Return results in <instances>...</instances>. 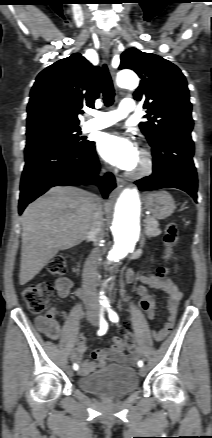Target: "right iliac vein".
I'll return each mask as SVG.
<instances>
[{"mask_svg":"<svg viewBox=\"0 0 212 438\" xmlns=\"http://www.w3.org/2000/svg\"><path fill=\"white\" fill-rule=\"evenodd\" d=\"M90 321H91V323H93L94 325H96L97 324V319L96 318H91L90 319ZM67 371H68V373L70 374V375H72L73 374V371H72V369L70 368V367H68V369H67Z\"/></svg>","mask_w":212,"mask_h":438,"instance_id":"63e3f726","label":"right iliac vein"}]
</instances>
